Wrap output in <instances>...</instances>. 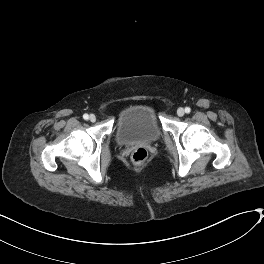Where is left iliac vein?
Returning a JSON list of instances; mask_svg holds the SVG:
<instances>
[{"label": "left iliac vein", "instance_id": "1", "mask_svg": "<svg viewBox=\"0 0 264 264\" xmlns=\"http://www.w3.org/2000/svg\"><path fill=\"white\" fill-rule=\"evenodd\" d=\"M184 114H185V110L183 108H179L177 110V115L178 116L182 117V116H184Z\"/></svg>", "mask_w": 264, "mask_h": 264}]
</instances>
